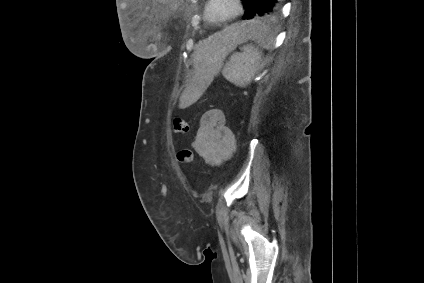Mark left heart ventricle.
I'll list each match as a JSON object with an SVG mask.
<instances>
[{"label":"left heart ventricle","instance_id":"left-heart-ventricle-1","mask_svg":"<svg viewBox=\"0 0 424 283\" xmlns=\"http://www.w3.org/2000/svg\"><path fill=\"white\" fill-rule=\"evenodd\" d=\"M233 11L231 0H215L211 6L210 12L213 17H223Z\"/></svg>","mask_w":424,"mask_h":283}]
</instances>
